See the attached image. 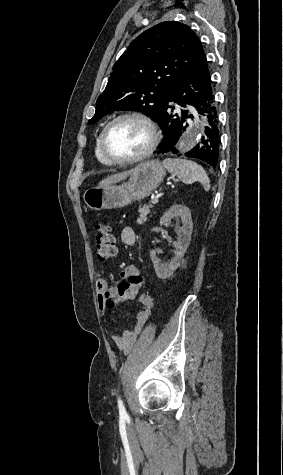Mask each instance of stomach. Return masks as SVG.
<instances>
[{
	"label": "stomach",
	"mask_w": 283,
	"mask_h": 475,
	"mask_svg": "<svg viewBox=\"0 0 283 475\" xmlns=\"http://www.w3.org/2000/svg\"><path fill=\"white\" fill-rule=\"evenodd\" d=\"M165 174L166 170L159 160H145L132 170L127 184L89 188L83 200L90 210L124 208L135 200L140 202L146 196H150L152 190L158 188L163 182Z\"/></svg>",
	"instance_id": "1"
}]
</instances>
